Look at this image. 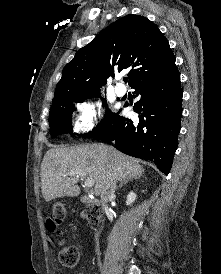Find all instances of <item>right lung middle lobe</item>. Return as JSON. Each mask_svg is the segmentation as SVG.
<instances>
[{"label": "right lung middle lobe", "mask_w": 221, "mask_h": 274, "mask_svg": "<svg viewBox=\"0 0 221 274\" xmlns=\"http://www.w3.org/2000/svg\"><path fill=\"white\" fill-rule=\"evenodd\" d=\"M98 95L84 97V98H76V97H62L54 100L52 102V106L50 109L49 115V124L51 129V137H55L62 133L73 132L71 126V116L72 112L75 108L74 102L79 103L84 100L92 97H96ZM103 105H106V100H103ZM115 113H111L110 110H107L103 120L100 124L96 126L91 132L83 135L84 137H92L97 134L101 130H103L110 121L115 117Z\"/></svg>", "instance_id": "obj_1"}]
</instances>
